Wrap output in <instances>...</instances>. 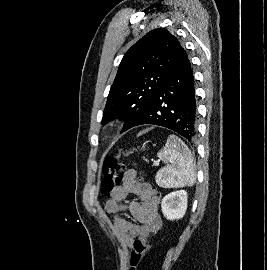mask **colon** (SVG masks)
I'll return each mask as SVG.
<instances>
[{
    "instance_id": "obj_1",
    "label": "colon",
    "mask_w": 267,
    "mask_h": 270,
    "mask_svg": "<svg viewBox=\"0 0 267 270\" xmlns=\"http://www.w3.org/2000/svg\"><path fill=\"white\" fill-rule=\"evenodd\" d=\"M103 178L101 181V191L104 194L112 193L121 183L124 176L125 164L117 156H110L104 160ZM149 249L147 239L138 238L129 256L130 270H137Z\"/></svg>"
}]
</instances>
